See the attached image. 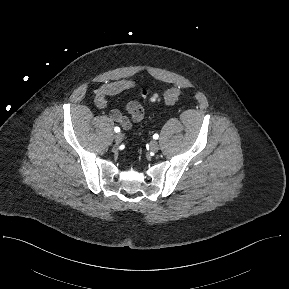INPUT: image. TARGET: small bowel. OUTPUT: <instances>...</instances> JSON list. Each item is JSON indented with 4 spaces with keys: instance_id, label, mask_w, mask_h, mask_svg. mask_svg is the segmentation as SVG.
<instances>
[{
    "instance_id": "c3829d8e",
    "label": "small bowel",
    "mask_w": 289,
    "mask_h": 289,
    "mask_svg": "<svg viewBox=\"0 0 289 289\" xmlns=\"http://www.w3.org/2000/svg\"><path fill=\"white\" fill-rule=\"evenodd\" d=\"M136 86L137 83L134 80L127 79L104 83L95 92V105L100 109H104L108 105L109 97L133 89ZM125 111L129 114L130 118L125 116L121 111L117 109H114L110 112V118L116 123H118L125 130L131 129L133 122H140L145 117L144 108L137 101L128 102L125 106Z\"/></svg>"
}]
</instances>
